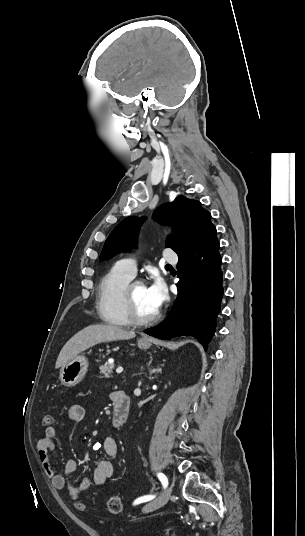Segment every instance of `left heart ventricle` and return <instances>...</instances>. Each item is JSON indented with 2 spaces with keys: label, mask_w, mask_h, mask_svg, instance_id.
<instances>
[{
  "label": "left heart ventricle",
  "mask_w": 305,
  "mask_h": 536,
  "mask_svg": "<svg viewBox=\"0 0 305 536\" xmlns=\"http://www.w3.org/2000/svg\"><path fill=\"white\" fill-rule=\"evenodd\" d=\"M130 293L133 306L140 314L150 315L156 311L151 308L148 302L146 286L135 284L132 286Z\"/></svg>",
  "instance_id": "b2bd125f"
}]
</instances>
